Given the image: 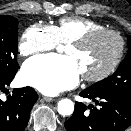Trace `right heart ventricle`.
<instances>
[{
	"label": "right heart ventricle",
	"mask_w": 131,
	"mask_h": 131,
	"mask_svg": "<svg viewBox=\"0 0 131 131\" xmlns=\"http://www.w3.org/2000/svg\"><path fill=\"white\" fill-rule=\"evenodd\" d=\"M53 27L59 43L63 44H68L92 30L104 28L101 23L84 17H65Z\"/></svg>",
	"instance_id": "right-heart-ventricle-1"
}]
</instances>
